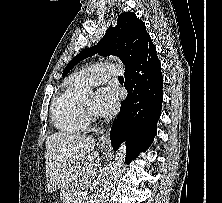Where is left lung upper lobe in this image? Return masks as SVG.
<instances>
[{
    "label": "left lung upper lobe",
    "mask_w": 222,
    "mask_h": 203,
    "mask_svg": "<svg viewBox=\"0 0 222 203\" xmlns=\"http://www.w3.org/2000/svg\"><path fill=\"white\" fill-rule=\"evenodd\" d=\"M148 37L145 24L135 13H122L118 17L117 25L109 27L96 46L83 49L75 56L65 67L62 76H66L77 63L96 53L101 56H118L126 69L136 60Z\"/></svg>",
    "instance_id": "1"
}]
</instances>
